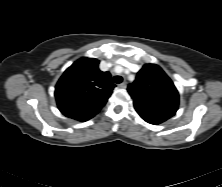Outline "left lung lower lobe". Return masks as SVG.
<instances>
[{
  "label": "left lung lower lobe",
  "instance_id": "obj_1",
  "mask_svg": "<svg viewBox=\"0 0 222 187\" xmlns=\"http://www.w3.org/2000/svg\"><path fill=\"white\" fill-rule=\"evenodd\" d=\"M136 111L143 120L153 125L160 124L166 121L167 119H169L170 117H172L166 114L146 112V111L137 110V109Z\"/></svg>",
  "mask_w": 222,
  "mask_h": 187
}]
</instances>
